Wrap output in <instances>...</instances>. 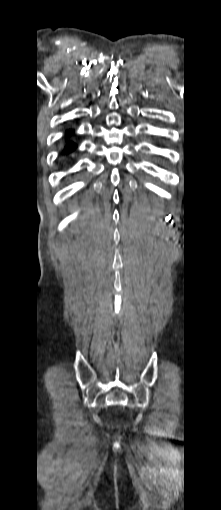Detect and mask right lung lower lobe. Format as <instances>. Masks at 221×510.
Masks as SVG:
<instances>
[{
	"mask_svg": "<svg viewBox=\"0 0 221 510\" xmlns=\"http://www.w3.org/2000/svg\"><path fill=\"white\" fill-rule=\"evenodd\" d=\"M72 134V131H67V135H71ZM76 147V145L74 143H67L66 147H65V152L68 153L72 150H74Z\"/></svg>",
	"mask_w": 221,
	"mask_h": 510,
	"instance_id": "right-lung-lower-lobe-1",
	"label": "right lung lower lobe"
}]
</instances>
